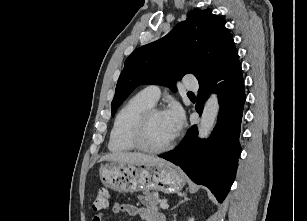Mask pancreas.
<instances>
[{"instance_id":"1","label":"pancreas","mask_w":307,"mask_h":221,"mask_svg":"<svg viewBox=\"0 0 307 221\" xmlns=\"http://www.w3.org/2000/svg\"><path fill=\"white\" fill-rule=\"evenodd\" d=\"M138 199L147 208L158 210L160 199L157 193L144 192L143 195L138 196Z\"/></svg>"}]
</instances>
